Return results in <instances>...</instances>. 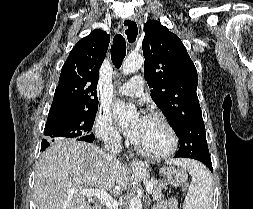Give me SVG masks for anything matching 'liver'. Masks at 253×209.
<instances>
[{
	"label": "liver",
	"instance_id": "obj_1",
	"mask_svg": "<svg viewBox=\"0 0 253 209\" xmlns=\"http://www.w3.org/2000/svg\"><path fill=\"white\" fill-rule=\"evenodd\" d=\"M107 158L99 147L86 142L64 139L51 145L40 156L35 172L37 209H94L76 190L104 189L118 196L132 178L147 176L143 165L132 174L124 164L117 166Z\"/></svg>",
	"mask_w": 253,
	"mask_h": 209
}]
</instances>
